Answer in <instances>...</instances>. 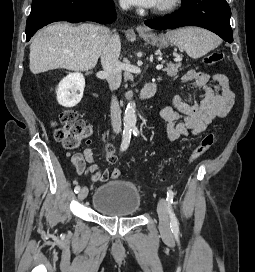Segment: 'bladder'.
I'll return each mask as SVG.
<instances>
[{
  "instance_id": "1",
  "label": "bladder",
  "mask_w": 255,
  "mask_h": 272,
  "mask_svg": "<svg viewBox=\"0 0 255 272\" xmlns=\"http://www.w3.org/2000/svg\"><path fill=\"white\" fill-rule=\"evenodd\" d=\"M92 206L104 216H133L141 208V194L137 186L130 181H109L95 190Z\"/></svg>"
}]
</instances>
